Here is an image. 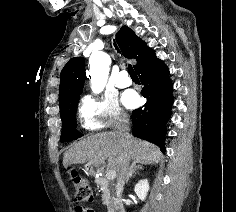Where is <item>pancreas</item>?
Listing matches in <instances>:
<instances>
[{"label": "pancreas", "mask_w": 236, "mask_h": 212, "mask_svg": "<svg viewBox=\"0 0 236 212\" xmlns=\"http://www.w3.org/2000/svg\"><path fill=\"white\" fill-rule=\"evenodd\" d=\"M97 185H99L102 189V201L103 204L109 206L112 201L111 190L109 186V180L105 177H99L95 179Z\"/></svg>", "instance_id": "obj_1"}]
</instances>
